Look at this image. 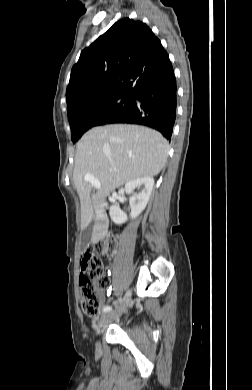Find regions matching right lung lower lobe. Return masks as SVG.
I'll return each mask as SVG.
<instances>
[{
	"label": "right lung lower lobe",
	"instance_id": "1",
	"mask_svg": "<svg viewBox=\"0 0 252 390\" xmlns=\"http://www.w3.org/2000/svg\"><path fill=\"white\" fill-rule=\"evenodd\" d=\"M136 99L141 102L137 105ZM177 85L174 72L141 86L134 94L133 104L110 119V123H130L149 126L170 140L176 120Z\"/></svg>",
	"mask_w": 252,
	"mask_h": 390
}]
</instances>
